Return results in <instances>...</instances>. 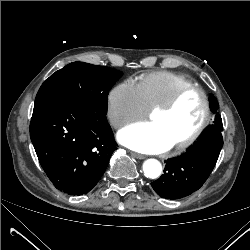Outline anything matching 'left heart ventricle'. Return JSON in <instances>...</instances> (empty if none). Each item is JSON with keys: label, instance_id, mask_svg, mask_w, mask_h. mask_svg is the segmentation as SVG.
I'll list each match as a JSON object with an SVG mask.
<instances>
[{"label": "left heart ventricle", "instance_id": "b2bd125f", "mask_svg": "<svg viewBox=\"0 0 250 250\" xmlns=\"http://www.w3.org/2000/svg\"><path fill=\"white\" fill-rule=\"evenodd\" d=\"M203 116V101L197 92L186 94L175 108L166 114H152L150 121L158 126L173 144L191 135Z\"/></svg>", "mask_w": 250, "mask_h": 250}]
</instances>
